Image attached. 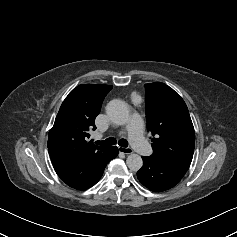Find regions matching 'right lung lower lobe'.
Returning <instances> with one entry per match:
<instances>
[{
  "label": "right lung lower lobe",
  "mask_w": 237,
  "mask_h": 237,
  "mask_svg": "<svg viewBox=\"0 0 237 237\" xmlns=\"http://www.w3.org/2000/svg\"><path fill=\"white\" fill-rule=\"evenodd\" d=\"M54 170L68 186L86 190L101 178L106 165L118 155L117 147L79 159L56 150H48Z\"/></svg>",
  "instance_id": "98d812e1"
}]
</instances>
